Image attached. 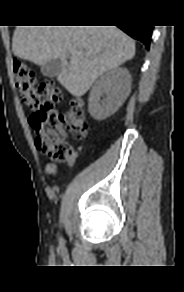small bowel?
<instances>
[{
    "label": "small bowel",
    "mask_w": 184,
    "mask_h": 292,
    "mask_svg": "<svg viewBox=\"0 0 184 292\" xmlns=\"http://www.w3.org/2000/svg\"><path fill=\"white\" fill-rule=\"evenodd\" d=\"M76 157H77V153L74 152L73 155H72V157H71V159L69 160L68 163H69V164H73V163L75 162Z\"/></svg>",
    "instance_id": "small-bowel-1"
}]
</instances>
